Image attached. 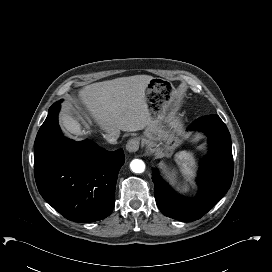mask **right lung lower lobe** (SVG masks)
<instances>
[{"label":"right lung lower lobe","mask_w":272,"mask_h":272,"mask_svg":"<svg viewBox=\"0 0 272 272\" xmlns=\"http://www.w3.org/2000/svg\"><path fill=\"white\" fill-rule=\"evenodd\" d=\"M57 101L34 143V175L42 197L65 218L87 223L109 216L115 204L118 172L124 152L98 147L92 141L65 138L58 125Z\"/></svg>","instance_id":"98d812e1"}]
</instances>
